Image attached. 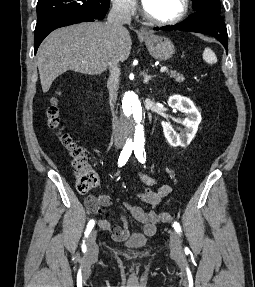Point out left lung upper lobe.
I'll use <instances>...</instances> for the list:
<instances>
[{
    "mask_svg": "<svg viewBox=\"0 0 255 287\" xmlns=\"http://www.w3.org/2000/svg\"><path fill=\"white\" fill-rule=\"evenodd\" d=\"M192 6L195 11L207 10L217 14L221 12L219 0H192Z\"/></svg>",
    "mask_w": 255,
    "mask_h": 287,
    "instance_id": "obj_1",
    "label": "left lung upper lobe"
}]
</instances>
